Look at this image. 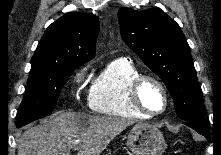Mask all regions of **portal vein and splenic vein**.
I'll return each instance as SVG.
<instances>
[{"instance_id":"18ae733b","label":"portal vein and splenic vein","mask_w":221,"mask_h":155,"mask_svg":"<svg viewBox=\"0 0 221 155\" xmlns=\"http://www.w3.org/2000/svg\"><path fill=\"white\" fill-rule=\"evenodd\" d=\"M79 148H80L79 146H76L74 149H76V150H77V149H79Z\"/></svg>"}]
</instances>
